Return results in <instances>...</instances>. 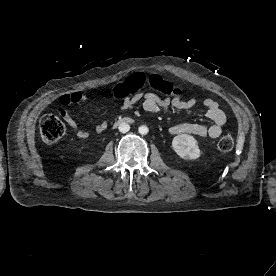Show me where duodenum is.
Returning a JSON list of instances; mask_svg holds the SVG:
<instances>
[{"instance_id": "1", "label": "duodenum", "mask_w": 276, "mask_h": 276, "mask_svg": "<svg viewBox=\"0 0 276 276\" xmlns=\"http://www.w3.org/2000/svg\"><path fill=\"white\" fill-rule=\"evenodd\" d=\"M131 121H132L131 118L126 117V118H123V119H121V120L115 122L114 125L116 126V125H118V124L121 123V122H131Z\"/></svg>"}]
</instances>
